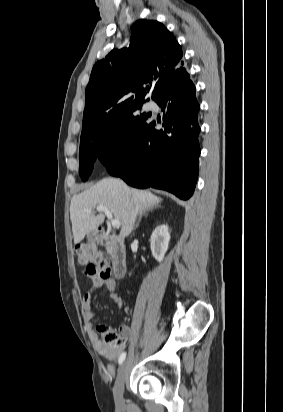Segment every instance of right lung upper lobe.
I'll return each mask as SVG.
<instances>
[{
  "label": "right lung upper lobe",
  "mask_w": 283,
  "mask_h": 412,
  "mask_svg": "<svg viewBox=\"0 0 283 412\" xmlns=\"http://www.w3.org/2000/svg\"><path fill=\"white\" fill-rule=\"evenodd\" d=\"M188 78L181 46L172 33L157 21H137L130 46L113 50L92 69L81 139L119 125L142 106L149 91L156 101L165 87Z\"/></svg>",
  "instance_id": "obj_1"
}]
</instances>
